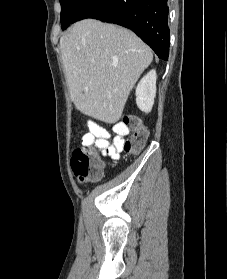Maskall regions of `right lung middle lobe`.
Segmentation results:
<instances>
[{"label": "right lung middle lobe", "mask_w": 227, "mask_h": 279, "mask_svg": "<svg viewBox=\"0 0 227 279\" xmlns=\"http://www.w3.org/2000/svg\"><path fill=\"white\" fill-rule=\"evenodd\" d=\"M61 4V28L66 29L85 0H59Z\"/></svg>", "instance_id": "dd1d6c3e"}]
</instances>
